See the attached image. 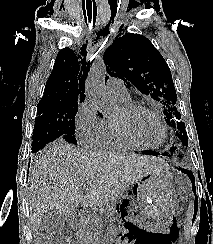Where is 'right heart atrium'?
<instances>
[{
  "label": "right heart atrium",
  "instance_id": "d8ad5b80",
  "mask_svg": "<svg viewBox=\"0 0 213 244\" xmlns=\"http://www.w3.org/2000/svg\"><path fill=\"white\" fill-rule=\"evenodd\" d=\"M104 122L92 102L88 100L82 102L75 117L77 138L84 144L98 145Z\"/></svg>",
  "mask_w": 213,
  "mask_h": 244
}]
</instances>
